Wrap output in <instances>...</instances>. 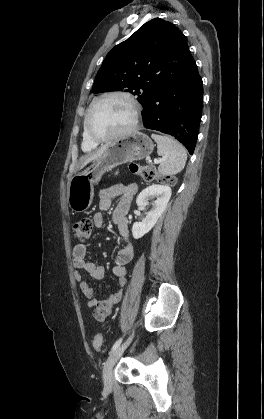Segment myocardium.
<instances>
[{"instance_id":"myocardium-1","label":"myocardium","mask_w":264,"mask_h":419,"mask_svg":"<svg viewBox=\"0 0 264 419\" xmlns=\"http://www.w3.org/2000/svg\"><path fill=\"white\" fill-rule=\"evenodd\" d=\"M115 96L125 98L132 105V108H133L132 123L130 124L129 127H127L126 129H124V130H122V131H120L116 134H113V135H110V136H107V137H98L95 134H93V132L91 131V128H90V117H91V114L93 112V109L95 108V106L100 101H102L106 98L115 97ZM140 116H141L140 104L132 94H130L129 92H126V91H122V90L109 91V92H105V93L101 94L100 96H98L97 98H95L92 101V103L90 104V106L87 110V113L85 115V119H84V130H85V133H86L87 137L92 142H94L96 144L111 142V141L118 140V139H121L123 137H126V136L130 135L131 133H133L138 127Z\"/></svg>"}]
</instances>
